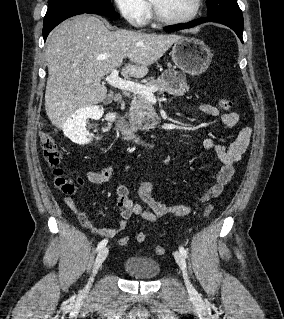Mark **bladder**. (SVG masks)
I'll return each mask as SVG.
<instances>
[{
    "label": "bladder",
    "instance_id": "bladder-1",
    "mask_svg": "<svg viewBox=\"0 0 284 319\" xmlns=\"http://www.w3.org/2000/svg\"><path fill=\"white\" fill-rule=\"evenodd\" d=\"M123 270L134 279L149 281L159 275L160 264L150 257L130 255L123 262Z\"/></svg>",
    "mask_w": 284,
    "mask_h": 319
}]
</instances>
